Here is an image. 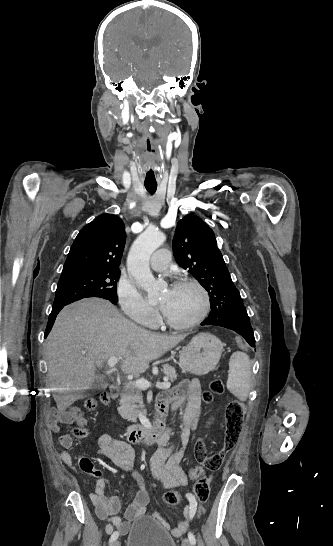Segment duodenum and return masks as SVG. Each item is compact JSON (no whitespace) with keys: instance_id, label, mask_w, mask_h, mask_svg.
Here are the masks:
<instances>
[{"instance_id":"1","label":"duodenum","mask_w":333,"mask_h":546,"mask_svg":"<svg viewBox=\"0 0 333 546\" xmlns=\"http://www.w3.org/2000/svg\"><path fill=\"white\" fill-rule=\"evenodd\" d=\"M110 396L112 399L118 398V386H110ZM165 432V422L161 416L151 425L128 427L125 435L130 443L139 445L158 441L165 434Z\"/></svg>"}]
</instances>
